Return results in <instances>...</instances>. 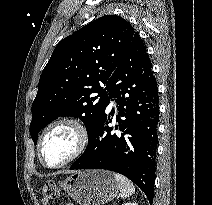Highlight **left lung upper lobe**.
Here are the masks:
<instances>
[{
	"label": "left lung upper lobe",
	"instance_id": "5c2ea615",
	"mask_svg": "<svg viewBox=\"0 0 212 205\" xmlns=\"http://www.w3.org/2000/svg\"><path fill=\"white\" fill-rule=\"evenodd\" d=\"M135 33L124 18L106 15L59 42L31 108L35 144L39 131L60 116L79 117L91 135L109 104L108 80Z\"/></svg>",
	"mask_w": 212,
	"mask_h": 205
}]
</instances>
